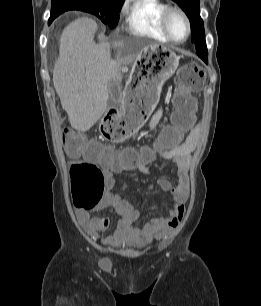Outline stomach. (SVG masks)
Masks as SVG:
<instances>
[{"label": "stomach", "instance_id": "obj_1", "mask_svg": "<svg viewBox=\"0 0 261 306\" xmlns=\"http://www.w3.org/2000/svg\"><path fill=\"white\" fill-rule=\"evenodd\" d=\"M179 57L163 46H150L136 59L135 75L128 83L118 112L127 127V136L145 124L156 107L164 83L175 73ZM143 67V68H142Z\"/></svg>", "mask_w": 261, "mask_h": 306}]
</instances>
